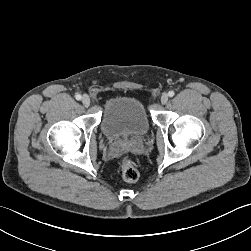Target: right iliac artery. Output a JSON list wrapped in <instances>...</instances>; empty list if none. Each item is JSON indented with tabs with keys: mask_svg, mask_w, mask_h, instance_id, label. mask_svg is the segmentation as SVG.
I'll list each match as a JSON object with an SVG mask.
<instances>
[{
	"mask_svg": "<svg viewBox=\"0 0 251 251\" xmlns=\"http://www.w3.org/2000/svg\"><path fill=\"white\" fill-rule=\"evenodd\" d=\"M76 100H81L82 96L80 94L75 95Z\"/></svg>",
	"mask_w": 251,
	"mask_h": 251,
	"instance_id": "1",
	"label": "right iliac artery"
}]
</instances>
